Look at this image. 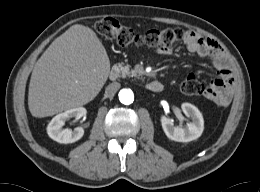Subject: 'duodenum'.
Listing matches in <instances>:
<instances>
[{
    "label": "duodenum",
    "instance_id": "1",
    "mask_svg": "<svg viewBox=\"0 0 260 192\" xmlns=\"http://www.w3.org/2000/svg\"><path fill=\"white\" fill-rule=\"evenodd\" d=\"M118 77V71L112 69L109 73L110 80L114 81ZM146 88L151 92H161L163 90V84L157 80L151 81L146 85Z\"/></svg>",
    "mask_w": 260,
    "mask_h": 192
}]
</instances>
